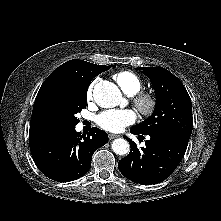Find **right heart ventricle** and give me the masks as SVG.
<instances>
[{"instance_id":"obj_1","label":"right heart ventricle","mask_w":221,"mask_h":221,"mask_svg":"<svg viewBox=\"0 0 221 221\" xmlns=\"http://www.w3.org/2000/svg\"><path fill=\"white\" fill-rule=\"evenodd\" d=\"M113 79L119 87L128 95H135L142 88V80L135 73L124 70L113 75Z\"/></svg>"}]
</instances>
